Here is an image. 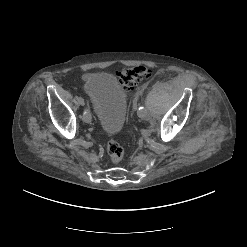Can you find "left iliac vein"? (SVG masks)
Here are the masks:
<instances>
[{"instance_id": "1", "label": "left iliac vein", "mask_w": 247, "mask_h": 247, "mask_svg": "<svg viewBox=\"0 0 247 247\" xmlns=\"http://www.w3.org/2000/svg\"><path fill=\"white\" fill-rule=\"evenodd\" d=\"M138 116H139L140 118L146 120V119L149 118V113H148L146 110H144L143 112H139V111H138Z\"/></svg>"}]
</instances>
